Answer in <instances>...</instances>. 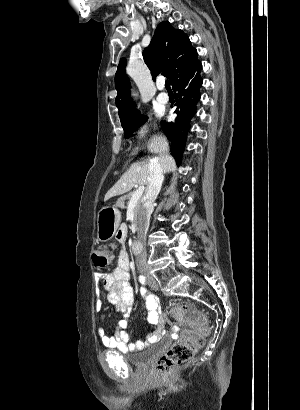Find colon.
<instances>
[{
	"mask_svg": "<svg viewBox=\"0 0 300 410\" xmlns=\"http://www.w3.org/2000/svg\"><path fill=\"white\" fill-rule=\"evenodd\" d=\"M92 261L97 269L109 268L112 264V249L94 251ZM172 312L178 326L185 330L182 337L156 360V371L163 377L190 362L195 352L204 345L209 330L206 316L191 303L177 304Z\"/></svg>",
	"mask_w": 300,
	"mask_h": 410,
	"instance_id": "colon-1",
	"label": "colon"
}]
</instances>
